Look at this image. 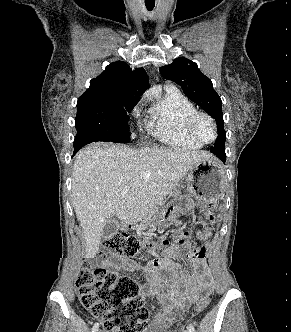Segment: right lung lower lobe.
Segmentation results:
<instances>
[{
    "label": "right lung lower lobe",
    "mask_w": 291,
    "mask_h": 332,
    "mask_svg": "<svg viewBox=\"0 0 291 332\" xmlns=\"http://www.w3.org/2000/svg\"><path fill=\"white\" fill-rule=\"evenodd\" d=\"M78 150L74 149V153H76Z\"/></svg>",
    "instance_id": "98d812e1"
}]
</instances>
